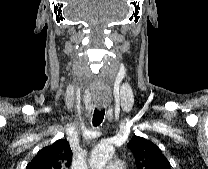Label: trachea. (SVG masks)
Segmentation results:
<instances>
[{
    "instance_id": "1",
    "label": "trachea",
    "mask_w": 208,
    "mask_h": 169,
    "mask_svg": "<svg viewBox=\"0 0 208 169\" xmlns=\"http://www.w3.org/2000/svg\"><path fill=\"white\" fill-rule=\"evenodd\" d=\"M104 115H105V109H95L94 110V114H93V125L96 127V126H99L103 119H104Z\"/></svg>"
}]
</instances>
